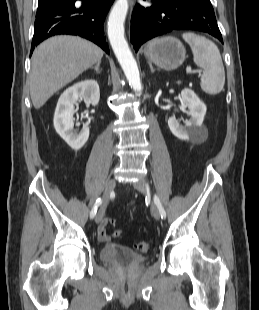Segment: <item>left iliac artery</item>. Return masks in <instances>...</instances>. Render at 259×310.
<instances>
[{"label":"left iliac artery","instance_id":"44dca946","mask_svg":"<svg viewBox=\"0 0 259 310\" xmlns=\"http://www.w3.org/2000/svg\"><path fill=\"white\" fill-rule=\"evenodd\" d=\"M154 202H155L156 206L158 207V210H159V213L161 215V218L165 219L166 218V211L163 208V206L161 204V201H160V199H159V197L157 195L154 196Z\"/></svg>","mask_w":259,"mask_h":310}]
</instances>
